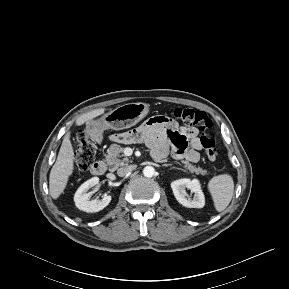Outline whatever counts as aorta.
I'll return each mask as SVG.
<instances>
[{
  "mask_svg": "<svg viewBox=\"0 0 289 289\" xmlns=\"http://www.w3.org/2000/svg\"><path fill=\"white\" fill-rule=\"evenodd\" d=\"M143 174L145 177H153L154 174H155V169L152 167V166H146L144 169H143Z\"/></svg>",
  "mask_w": 289,
  "mask_h": 289,
  "instance_id": "aorta-1",
  "label": "aorta"
}]
</instances>
